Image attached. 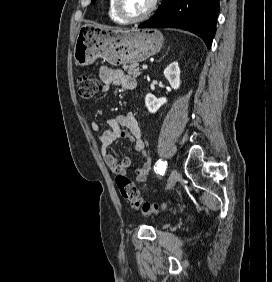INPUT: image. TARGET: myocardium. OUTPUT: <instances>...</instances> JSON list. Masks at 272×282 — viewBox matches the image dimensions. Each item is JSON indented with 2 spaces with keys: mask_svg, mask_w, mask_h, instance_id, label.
I'll list each match as a JSON object with an SVG mask.
<instances>
[{
  "mask_svg": "<svg viewBox=\"0 0 272 282\" xmlns=\"http://www.w3.org/2000/svg\"><path fill=\"white\" fill-rule=\"evenodd\" d=\"M157 4H158V0H153L149 9L144 14L139 15V16H131L130 14L125 12V10L123 9L121 0H113V7L115 9V12L121 19H123L124 21L128 23H136L144 19H147L155 12L157 8Z\"/></svg>",
  "mask_w": 272,
  "mask_h": 282,
  "instance_id": "f54148a6",
  "label": "myocardium"
}]
</instances>
